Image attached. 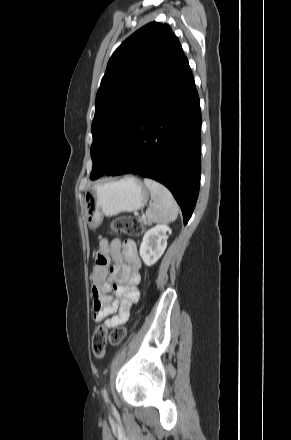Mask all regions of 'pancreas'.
<instances>
[{
	"mask_svg": "<svg viewBox=\"0 0 291 440\" xmlns=\"http://www.w3.org/2000/svg\"><path fill=\"white\" fill-rule=\"evenodd\" d=\"M138 222L141 224V225H144V226H147V225H150L151 223L148 221V220H146L145 218H140L139 220H138Z\"/></svg>",
	"mask_w": 291,
	"mask_h": 440,
	"instance_id": "cf45deb5",
	"label": "pancreas"
}]
</instances>
